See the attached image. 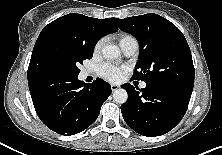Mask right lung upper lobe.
Wrapping results in <instances>:
<instances>
[{
    "label": "right lung upper lobe",
    "mask_w": 222,
    "mask_h": 155,
    "mask_svg": "<svg viewBox=\"0 0 222 155\" xmlns=\"http://www.w3.org/2000/svg\"><path fill=\"white\" fill-rule=\"evenodd\" d=\"M116 19L117 18H106L100 20L82 14L71 13L45 26L35 43L28 67L27 76L30 93L45 94L51 89L56 80V77L43 66L38 54L39 44L46 34L56 28L74 26L90 31L93 41L96 44L102 36L118 30Z\"/></svg>",
    "instance_id": "obj_1"
}]
</instances>
